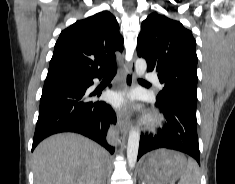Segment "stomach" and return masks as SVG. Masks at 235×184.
Masks as SVG:
<instances>
[{
	"mask_svg": "<svg viewBox=\"0 0 235 184\" xmlns=\"http://www.w3.org/2000/svg\"><path fill=\"white\" fill-rule=\"evenodd\" d=\"M187 160L181 152L175 150H155L144 156L139 172L147 184H173L186 172Z\"/></svg>",
	"mask_w": 235,
	"mask_h": 184,
	"instance_id": "stomach-1",
	"label": "stomach"
}]
</instances>
